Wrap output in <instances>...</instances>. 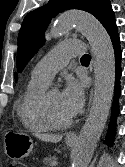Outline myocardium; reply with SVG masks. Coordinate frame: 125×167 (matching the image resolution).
Returning <instances> with one entry per match:
<instances>
[{
    "label": "myocardium",
    "instance_id": "myocardium-1",
    "mask_svg": "<svg viewBox=\"0 0 125 167\" xmlns=\"http://www.w3.org/2000/svg\"><path fill=\"white\" fill-rule=\"evenodd\" d=\"M41 111L44 120L50 126L51 129H65L68 128L72 124V118H68L66 120L60 121L57 120L51 112L49 101H48V93H45L42 98Z\"/></svg>",
    "mask_w": 125,
    "mask_h": 167
}]
</instances>
